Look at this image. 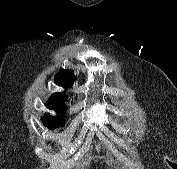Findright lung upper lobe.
Masks as SVG:
<instances>
[{
  "label": "right lung upper lobe",
  "instance_id": "cb5924a9",
  "mask_svg": "<svg viewBox=\"0 0 177 169\" xmlns=\"http://www.w3.org/2000/svg\"><path fill=\"white\" fill-rule=\"evenodd\" d=\"M74 80H75L74 74L67 70H61L55 76V83L64 88L70 87L74 83ZM65 100H66V96L64 92L55 93L51 96L46 106L48 108L57 107L59 105L64 104Z\"/></svg>",
  "mask_w": 177,
  "mask_h": 169
}]
</instances>
